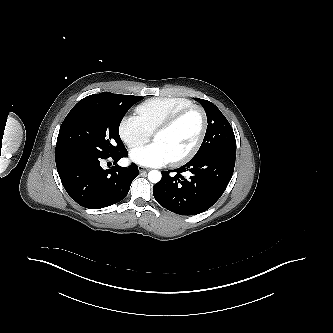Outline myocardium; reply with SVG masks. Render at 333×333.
Wrapping results in <instances>:
<instances>
[{
  "label": "myocardium",
  "instance_id": "myocardium-1",
  "mask_svg": "<svg viewBox=\"0 0 333 333\" xmlns=\"http://www.w3.org/2000/svg\"><path fill=\"white\" fill-rule=\"evenodd\" d=\"M193 111H197L201 116L200 133H199L195 143L188 151H186L182 155H180L170 161L173 165H178V164L188 161L198 152L199 148L201 147V145L205 139V136L207 133V128H208V118H207L206 111L204 110L203 107H201L199 105H191L189 107L183 108L180 111L173 114L172 116H170L167 120H165L162 124H160L153 132V138H154L156 135L170 130L180 120H182L185 116H187L189 113H191Z\"/></svg>",
  "mask_w": 333,
  "mask_h": 333
}]
</instances>
